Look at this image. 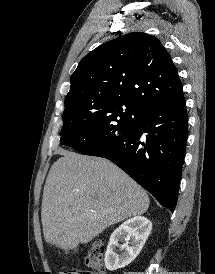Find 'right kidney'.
<instances>
[{"label":"right kidney","instance_id":"ca27d5eb","mask_svg":"<svg viewBox=\"0 0 215 274\" xmlns=\"http://www.w3.org/2000/svg\"><path fill=\"white\" fill-rule=\"evenodd\" d=\"M152 229V223L145 217L135 216L122 223L110 236L105 253V267L110 271L130 264L140 253ZM119 241L123 242L119 245ZM116 247L122 251L117 254Z\"/></svg>","mask_w":215,"mask_h":274}]
</instances>
